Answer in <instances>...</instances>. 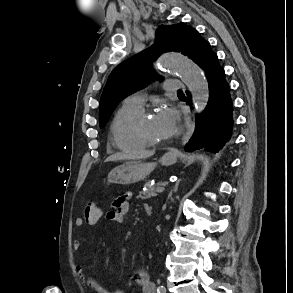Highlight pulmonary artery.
Returning <instances> with one entry per match:
<instances>
[{
	"mask_svg": "<svg viewBox=\"0 0 293 293\" xmlns=\"http://www.w3.org/2000/svg\"><path fill=\"white\" fill-rule=\"evenodd\" d=\"M181 88H183V83L178 80H168L164 84V89L166 91H177V90H180ZM145 100L146 99L144 94L136 93L126 98L124 103L127 105H131V106H135V107L143 109Z\"/></svg>",
	"mask_w": 293,
	"mask_h": 293,
	"instance_id": "e3ab8cb5",
	"label": "pulmonary artery"
}]
</instances>
